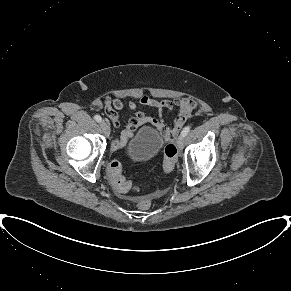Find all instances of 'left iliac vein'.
<instances>
[{"label":"left iliac vein","instance_id":"1","mask_svg":"<svg viewBox=\"0 0 291 291\" xmlns=\"http://www.w3.org/2000/svg\"><path fill=\"white\" fill-rule=\"evenodd\" d=\"M177 146L180 150L184 147V137L182 135L177 139Z\"/></svg>","mask_w":291,"mask_h":291}]
</instances>
